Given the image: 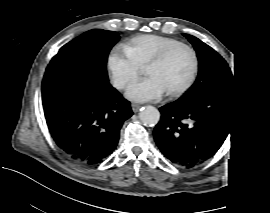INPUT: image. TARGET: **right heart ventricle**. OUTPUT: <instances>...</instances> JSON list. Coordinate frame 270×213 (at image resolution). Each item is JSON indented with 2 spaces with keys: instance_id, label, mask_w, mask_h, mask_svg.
I'll use <instances>...</instances> for the list:
<instances>
[{
  "instance_id": "obj_1",
  "label": "right heart ventricle",
  "mask_w": 270,
  "mask_h": 213,
  "mask_svg": "<svg viewBox=\"0 0 270 213\" xmlns=\"http://www.w3.org/2000/svg\"><path fill=\"white\" fill-rule=\"evenodd\" d=\"M180 44L174 38L161 35H140L126 47L127 56L140 66H148L154 57L162 51Z\"/></svg>"
}]
</instances>
